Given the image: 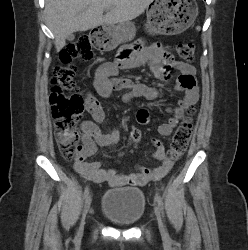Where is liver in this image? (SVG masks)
<instances>
[{
  "mask_svg": "<svg viewBox=\"0 0 248 250\" xmlns=\"http://www.w3.org/2000/svg\"><path fill=\"white\" fill-rule=\"evenodd\" d=\"M154 0H46V22L59 52L68 35L100 25L129 22L141 15ZM108 10L109 13L103 15Z\"/></svg>",
  "mask_w": 248,
  "mask_h": 250,
  "instance_id": "6515ba94",
  "label": "liver"
}]
</instances>
